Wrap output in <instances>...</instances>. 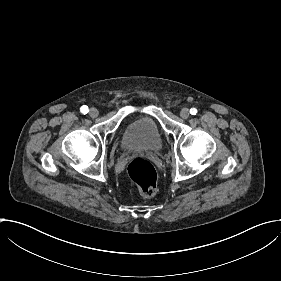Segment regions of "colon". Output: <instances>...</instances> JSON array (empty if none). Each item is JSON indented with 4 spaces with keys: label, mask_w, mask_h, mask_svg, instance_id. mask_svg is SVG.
<instances>
[{
    "label": "colon",
    "mask_w": 281,
    "mask_h": 281,
    "mask_svg": "<svg viewBox=\"0 0 281 281\" xmlns=\"http://www.w3.org/2000/svg\"><path fill=\"white\" fill-rule=\"evenodd\" d=\"M128 176L144 193L157 188L158 178L152 164L142 157L133 158L128 165Z\"/></svg>",
    "instance_id": "1"
}]
</instances>
